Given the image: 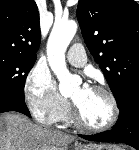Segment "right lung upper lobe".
<instances>
[{
    "label": "right lung upper lobe",
    "mask_w": 139,
    "mask_h": 150,
    "mask_svg": "<svg viewBox=\"0 0 139 150\" xmlns=\"http://www.w3.org/2000/svg\"><path fill=\"white\" fill-rule=\"evenodd\" d=\"M40 39L34 0H0V51L36 58Z\"/></svg>",
    "instance_id": "1"
}]
</instances>
